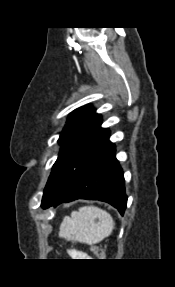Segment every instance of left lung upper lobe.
I'll return each instance as SVG.
<instances>
[{
  "mask_svg": "<svg viewBox=\"0 0 175 287\" xmlns=\"http://www.w3.org/2000/svg\"><path fill=\"white\" fill-rule=\"evenodd\" d=\"M101 116L85 105L74 110L59 137L60 153L53 165L41 206L55 200L110 144V131L101 127Z\"/></svg>",
  "mask_w": 175,
  "mask_h": 287,
  "instance_id": "obj_1",
  "label": "left lung upper lobe"
}]
</instances>
